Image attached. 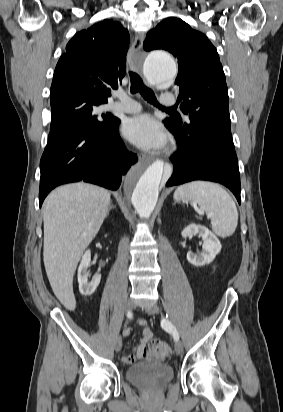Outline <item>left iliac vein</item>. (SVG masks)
I'll return each instance as SVG.
<instances>
[{
  "label": "left iliac vein",
  "instance_id": "obj_1",
  "mask_svg": "<svg viewBox=\"0 0 283 412\" xmlns=\"http://www.w3.org/2000/svg\"><path fill=\"white\" fill-rule=\"evenodd\" d=\"M146 313L150 315L158 314L159 313V307L156 304H152L145 309ZM175 352L178 355H181L183 352V345L179 340H175L174 344Z\"/></svg>",
  "mask_w": 283,
  "mask_h": 412
}]
</instances>
